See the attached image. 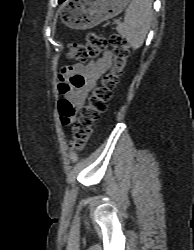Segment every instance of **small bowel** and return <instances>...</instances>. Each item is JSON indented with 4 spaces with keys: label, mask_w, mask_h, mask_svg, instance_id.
I'll return each instance as SVG.
<instances>
[{
    "label": "small bowel",
    "mask_w": 194,
    "mask_h": 250,
    "mask_svg": "<svg viewBox=\"0 0 194 250\" xmlns=\"http://www.w3.org/2000/svg\"><path fill=\"white\" fill-rule=\"evenodd\" d=\"M111 65L112 54L106 51L97 60L88 64L75 63L63 68L58 88L62 95L59 110L64 124L73 121L75 110L86 103L88 93ZM67 108H72L73 112L68 113Z\"/></svg>",
    "instance_id": "c3829d8e"
}]
</instances>
